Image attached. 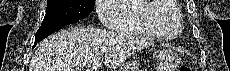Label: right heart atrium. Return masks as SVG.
<instances>
[{
  "mask_svg": "<svg viewBox=\"0 0 230 71\" xmlns=\"http://www.w3.org/2000/svg\"><path fill=\"white\" fill-rule=\"evenodd\" d=\"M125 0H99L97 2V14L101 22L111 28L112 18L114 16L112 8L114 5L124 2Z\"/></svg>",
  "mask_w": 230,
  "mask_h": 71,
  "instance_id": "1",
  "label": "right heart atrium"
}]
</instances>
